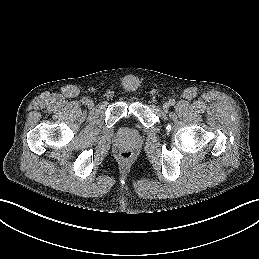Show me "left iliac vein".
<instances>
[{
    "label": "left iliac vein",
    "instance_id": "left-iliac-vein-1",
    "mask_svg": "<svg viewBox=\"0 0 259 259\" xmlns=\"http://www.w3.org/2000/svg\"><path fill=\"white\" fill-rule=\"evenodd\" d=\"M169 107H170V104H169L168 102H165V103L163 104V110H164L165 112H167V111L169 110Z\"/></svg>",
    "mask_w": 259,
    "mask_h": 259
}]
</instances>
